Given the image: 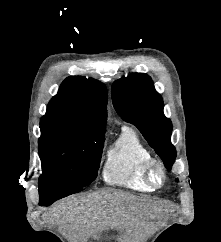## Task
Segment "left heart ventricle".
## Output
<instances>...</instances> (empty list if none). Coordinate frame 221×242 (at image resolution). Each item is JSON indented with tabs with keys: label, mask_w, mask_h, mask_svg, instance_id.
<instances>
[{
	"label": "left heart ventricle",
	"mask_w": 221,
	"mask_h": 242,
	"mask_svg": "<svg viewBox=\"0 0 221 242\" xmlns=\"http://www.w3.org/2000/svg\"><path fill=\"white\" fill-rule=\"evenodd\" d=\"M154 177L156 178V180H159V174L157 172L154 173Z\"/></svg>",
	"instance_id": "1"
}]
</instances>
